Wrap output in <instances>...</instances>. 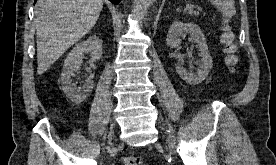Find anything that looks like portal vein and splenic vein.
<instances>
[{
  "mask_svg": "<svg viewBox=\"0 0 276 165\" xmlns=\"http://www.w3.org/2000/svg\"><path fill=\"white\" fill-rule=\"evenodd\" d=\"M189 10L191 11V13H194V14H198V13H199V11H197V12H196V11H193V6H190V7H189Z\"/></svg>",
  "mask_w": 276,
  "mask_h": 165,
  "instance_id": "18ae733b",
  "label": "portal vein and splenic vein"
}]
</instances>
